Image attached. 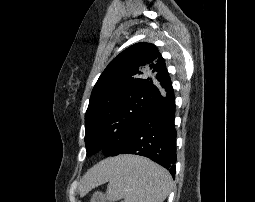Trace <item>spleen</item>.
<instances>
[{"mask_svg": "<svg viewBox=\"0 0 255 202\" xmlns=\"http://www.w3.org/2000/svg\"><path fill=\"white\" fill-rule=\"evenodd\" d=\"M106 177L109 201L163 202L172 186L166 169L138 156H124L119 163L107 166Z\"/></svg>", "mask_w": 255, "mask_h": 202, "instance_id": "obj_1", "label": "spleen"}]
</instances>
